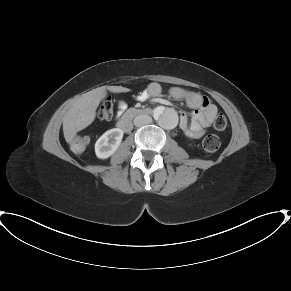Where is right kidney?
<instances>
[{
    "mask_svg": "<svg viewBox=\"0 0 291 291\" xmlns=\"http://www.w3.org/2000/svg\"><path fill=\"white\" fill-rule=\"evenodd\" d=\"M123 130L113 128L106 131L95 143V153L99 159L110 157L120 146L123 138Z\"/></svg>",
    "mask_w": 291,
    "mask_h": 291,
    "instance_id": "right-kidney-1",
    "label": "right kidney"
}]
</instances>
